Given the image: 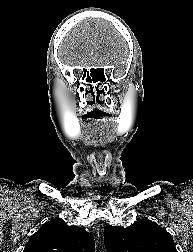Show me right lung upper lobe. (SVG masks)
Segmentation results:
<instances>
[{
    "label": "right lung upper lobe",
    "instance_id": "cb5924a9",
    "mask_svg": "<svg viewBox=\"0 0 193 252\" xmlns=\"http://www.w3.org/2000/svg\"><path fill=\"white\" fill-rule=\"evenodd\" d=\"M95 242L85 229L57 218L34 233L23 252H94Z\"/></svg>",
    "mask_w": 193,
    "mask_h": 252
}]
</instances>
